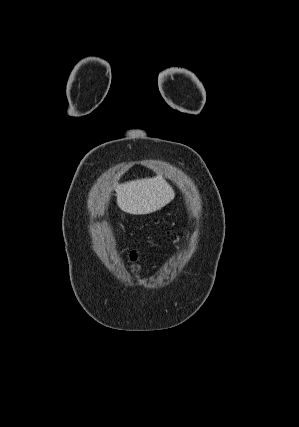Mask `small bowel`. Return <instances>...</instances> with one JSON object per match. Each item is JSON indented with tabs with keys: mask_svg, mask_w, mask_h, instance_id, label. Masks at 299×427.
<instances>
[{
	"mask_svg": "<svg viewBox=\"0 0 299 427\" xmlns=\"http://www.w3.org/2000/svg\"><path fill=\"white\" fill-rule=\"evenodd\" d=\"M136 260H137V255H136V253H132V254L130 255V261H131L132 263H134V262H136Z\"/></svg>",
	"mask_w": 299,
	"mask_h": 427,
	"instance_id": "small-bowel-1",
	"label": "small bowel"
}]
</instances>
